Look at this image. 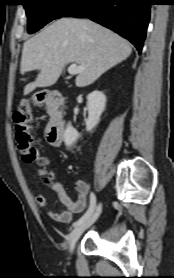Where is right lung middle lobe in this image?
<instances>
[{
    "label": "right lung middle lobe",
    "mask_w": 174,
    "mask_h": 278,
    "mask_svg": "<svg viewBox=\"0 0 174 278\" xmlns=\"http://www.w3.org/2000/svg\"><path fill=\"white\" fill-rule=\"evenodd\" d=\"M78 0H23L28 32L34 33L50 21L61 18Z\"/></svg>",
    "instance_id": "1"
}]
</instances>
